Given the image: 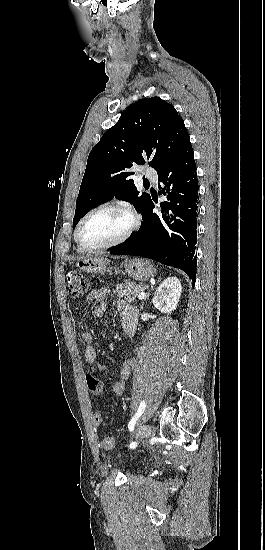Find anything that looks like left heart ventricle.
<instances>
[{
    "label": "left heart ventricle",
    "instance_id": "obj_1",
    "mask_svg": "<svg viewBox=\"0 0 265 550\" xmlns=\"http://www.w3.org/2000/svg\"><path fill=\"white\" fill-rule=\"evenodd\" d=\"M130 224L127 214L115 209H103L86 219L79 237L88 246L106 244L122 236Z\"/></svg>",
    "mask_w": 265,
    "mask_h": 550
}]
</instances>
